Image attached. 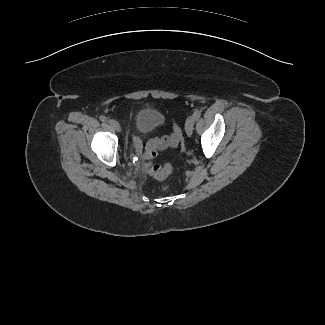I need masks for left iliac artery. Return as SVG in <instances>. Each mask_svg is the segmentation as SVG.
<instances>
[{
	"instance_id": "obj_1",
	"label": "left iliac artery",
	"mask_w": 325,
	"mask_h": 325,
	"mask_svg": "<svg viewBox=\"0 0 325 325\" xmlns=\"http://www.w3.org/2000/svg\"><path fill=\"white\" fill-rule=\"evenodd\" d=\"M201 111L200 110H195L193 113L194 120H197L200 118Z\"/></svg>"
}]
</instances>
